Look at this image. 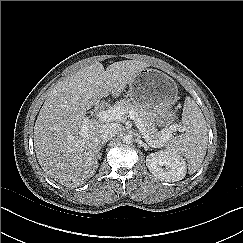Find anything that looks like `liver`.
Masks as SVG:
<instances>
[{
    "label": "liver",
    "instance_id": "liver-1",
    "mask_svg": "<svg viewBox=\"0 0 243 243\" xmlns=\"http://www.w3.org/2000/svg\"><path fill=\"white\" fill-rule=\"evenodd\" d=\"M150 64L125 60L95 62L50 89L34 126V150L42 169L66 187H78L98 168L100 128L108 121L89 119L86 111L100 98L117 97ZM86 125L87 130L82 131Z\"/></svg>",
    "mask_w": 243,
    "mask_h": 243
}]
</instances>
